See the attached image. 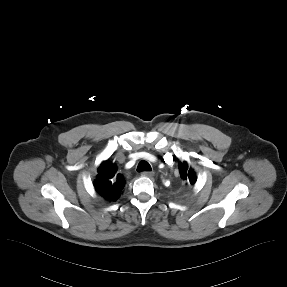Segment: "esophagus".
<instances>
[{
	"instance_id": "34e87169",
	"label": "esophagus",
	"mask_w": 287,
	"mask_h": 287,
	"mask_svg": "<svg viewBox=\"0 0 287 287\" xmlns=\"http://www.w3.org/2000/svg\"><path fill=\"white\" fill-rule=\"evenodd\" d=\"M143 175L152 178L155 175V173L153 171H145L143 172Z\"/></svg>"
}]
</instances>
